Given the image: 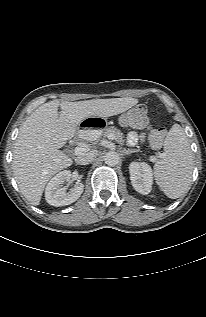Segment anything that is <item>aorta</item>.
I'll return each mask as SVG.
<instances>
[{"label":"aorta","mask_w":206,"mask_h":317,"mask_svg":"<svg viewBox=\"0 0 206 317\" xmlns=\"http://www.w3.org/2000/svg\"><path fill=\"white\" fill-rule=\"evenodd\" d=\"M104 161L108 166H115L120 162V156L115 151H109L104 156Z\"/></svg>","instance_id":"aorta-1"}]
</instances>
